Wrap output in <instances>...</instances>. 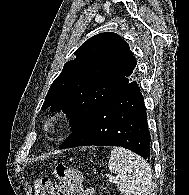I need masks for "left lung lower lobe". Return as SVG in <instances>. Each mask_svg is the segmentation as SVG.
I'll return each mask as SVG.
<instances>
[{"instance_id":"obj_1","label":"left lung lower lobe","mask_w":189,"mask_h":195,"mask_svg":"<svg viewBox=\"0 0 189 195\" xmlns=\"http://www.w3.org/2000/svg\"><path fill=\"white\" fill-rule=\"evenodd\" d=\"M87 145L121 146L149 160L147 114L136 82H130L108 97L59 149Z\"/></svg>"}]
</instances>
